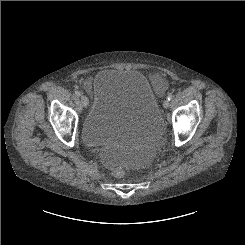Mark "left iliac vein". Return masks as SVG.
I'll list each match as a JSON object with an SVG mask.
<instances>
[{
    "label": "left iliac vein",
    "instance_id": "left-iliac-vein-1",
    "mask_svg": "<svg viewBox=\"0 0 245 245\" xmlns=\"http://www.w3.org/2000/svg\"><path fill=\"white\" fill-rule=\"evenodd\" d=\"M169 106H170L169 100H165V101L163 102V107H164L165 109H167V108H169Z\"/></svg>",
    "mask_w": 245,
    "mask_h": 245
}]
</instances>
